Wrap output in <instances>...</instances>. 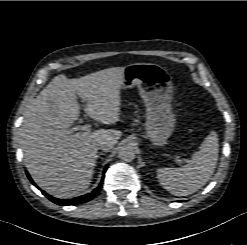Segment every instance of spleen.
I'll use <instances>...</instances> for the list:
<instances>
[{"instance_id": "1", "label": "spleen", "mask_w": 247, "mask_h": 245, "mask_svg": "<svg viewBox=\"0 0 247 245\" xmlns=\"http://www.w3.org/2000/svg\"><path fill=\"white\" fill-rule=\"evenodd\" d=\"M219 143L217 133L212 131L181 168H159L160 184L175 196H187L198 191L211 178L218 161Z\"/></svg>"}]
</instances>
